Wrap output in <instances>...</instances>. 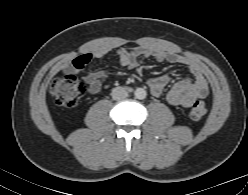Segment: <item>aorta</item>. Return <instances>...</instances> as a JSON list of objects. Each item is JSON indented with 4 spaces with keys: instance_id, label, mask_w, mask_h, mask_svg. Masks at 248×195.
<instances>
[{
    "instance_id": "obj_1",
    "label": "aorta",
    "mask_w": 248,
    "mask_h": 195,
    "mask_svg": "<svg viewBox=\"0 0 248 195\" xmlns=\"http://www.w3.org/2000/svg\"><path fill=\"white\" fill-rule=\"evenodd\" d=\"M146 96H147V93H146L145 89H143V88H137V89L135 90V97H136L137 99L142 100V99H145Z\"/></svg>"
}]
</instances>
